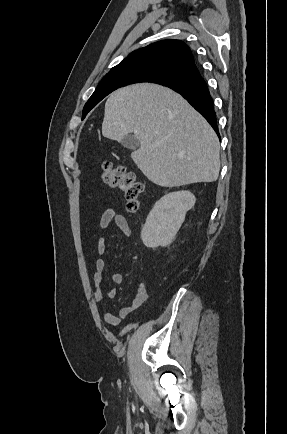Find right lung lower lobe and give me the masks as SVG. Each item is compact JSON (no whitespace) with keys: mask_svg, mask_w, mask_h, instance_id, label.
Listing matches in <instances>:
<instances>
[{"mask_svg":"<svg viewBox=\"0 0 287 434\" xmlns=\"http://www.w3.org/2000/svg\"><path fill=\"white\" fill-rule=\"evenodd\" d=\"M167 87L181 94L208 121L219 136L213 99L198 68L187 72L180 80Z\"/></svg>","mask_w":287,"mask_h":434,"instance_id":"right-lung-lower-lobe-1","label":"right lung lower lobe"}]
</instances>
